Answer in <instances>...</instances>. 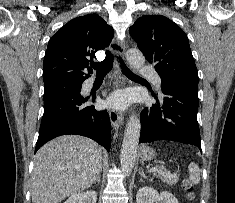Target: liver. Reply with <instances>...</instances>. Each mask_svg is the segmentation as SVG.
I'll list each match as a JSON object with an SVG mask.
<instances>
[{
  "mask_svg": "<svg viewBox=\"0 0 235 203\" xmlns=\"http://www.w3.org/2000/svg\"><path fill=\"white\" fill-rule=\"evenodd\" d=\"M103 154L99 144L78 135L46 143L34 160L32 203H60L89 188L101 173Z\"/></svg>",
  "mask_w": 235,
  "mask_h": 203,
  "instance_id": "obj_1",
  "label": "liver"
}]
</instances>
